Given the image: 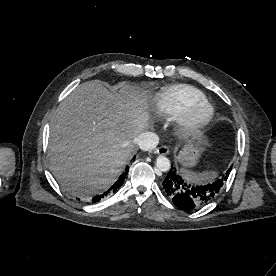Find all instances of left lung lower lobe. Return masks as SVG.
<instances>
[{
    "mask_svg": "<svg viewBox=\"0 0 276 276\" xmlns=\"http://www.w3.org/2000/svg\"><path fill=\"white\" fill-rule=\"evenodd\" d=\"M231 169L232 166L222 179L211 184L195 185L187 181L184 175L178 173L172 166L163 181V189L176 206L183 209L199 208L212 201L219 194Z\"/></svg>",
    "mask_w": 276,
    "mask_h": 276,
    "instance_id": "1",
    "label": "left lung lower lobe"
}]
</instances>
